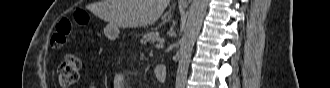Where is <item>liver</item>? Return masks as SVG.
<instances>
[{"label":"liver","mask_w":330,"mask_h":88,"mask_svg":"<svg viewBox=\"0 0 330 88\" xmlns=\"http://www.w3.org/2000/svg\"><path fill=\"white\" fill-rule=\"evenodd\" d=\"M169 3L170 0H102L97 13L110 25L135 28L158 20ZM169 14L170 11L165 16Z\"/></svg>","instance_id":"1"}]
</instances>
